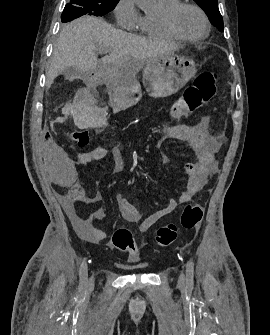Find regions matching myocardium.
I'll list each match as a JSON object with an SVG mask.
<instances>
[{
  "instance_id": "myocardium-1",
  "label": "myocardium",
  "mask_w": 270,
  "mask_h": 335,
  "mask_svg": "<svg viewBox=\"0 0 270 335\" xmlns=\"http://www.w3.org/2000/svg\"><path fill=\"white\" fill-rule=\"evenodd\" d=\"M185 6L192 7L201 16L203 24H204V32L202 34L197 35V36H188L184 34L178 28L177 22H176L177 15L179 11ZM160 21L170 34H172L173 36L179 39H183V40H188V41L200 40V39L207 37L210 33V23H209V20L206 14L203 12V10L200 7H198L196 4L192 2H179L178 4L172 6L171 8L167 9L161 14Z\"/></svg>"
}]
</instances>
